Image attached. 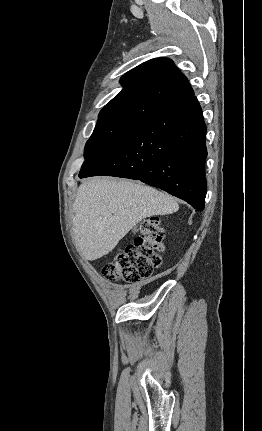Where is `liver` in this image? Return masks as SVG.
Masks as SVG:
<instances>
[{
	"label": "liver",
	"instance_id": "6515ba94",
	"mask_svg": "<svg viewBox=\"0 0 262 431\" xmlns=\"http://www.w3.org/2000/svg\"><path fill=\"white\" fill-rule=\"evenodd\" d=\"M178 209L173 197L149 186L125 179H89L79 186L73 203L75 246L85 259L96 260L141 220Z\"/></svg>",
	"mask_w": 262,
	"mask_h": 431
}]
</instances>
